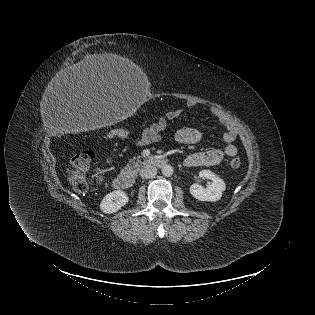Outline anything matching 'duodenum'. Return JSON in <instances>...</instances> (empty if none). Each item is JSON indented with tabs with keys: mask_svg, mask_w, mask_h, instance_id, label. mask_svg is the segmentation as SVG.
Listing matches in <instances>:
<instances>
[{
	"mask_svg": "<svg viewBox=\"0 0 315 315\" xmlns=\"http://www.w3.org/2000/svg\"><path fill=\"white\" fill-rule=\"evenodd\" d=\"M148 162L157 166L164 167L167 161L164 158L158 156H151ZM135 181V173L133 171L125 170L122 171L114 180V186L116 189L123 190L132 186Z\"/></svg>",
	"mask_w": 315,
	"mask_h": 315,
	"instance_id": "1",
	"label": "duodenum"
}]
</instances>
